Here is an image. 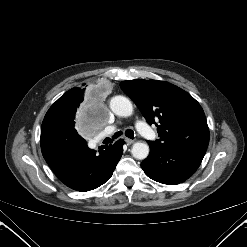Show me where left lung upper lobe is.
Here are the masks:
<instances>
[{
    "label": "left lung upper lobe",
    "instance_id": "1",
    "mask_svg": "<svg viewBox=\"0 0 247 247\" xmlns=\"http://www.w3.org/2000/svg\"><path fill=\"white\" fill-rule=\"evenodd\" d=\"M146 121L156 124V144L173 147L183 143L208 145L209 128L200 104L186 91L165 81L135 79L120 83ZM158 124H157V123Z\"/></svg>",
    "mask_w": 247,
    "mask_h": 247
}]
</instances>
